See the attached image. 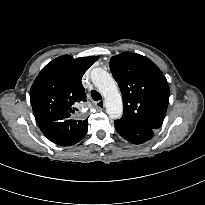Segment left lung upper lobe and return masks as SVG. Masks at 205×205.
<instances>
[{
    "mask_svg": "<svg viewBox=\"0 0 205 205\" xmlns=\"http://www.w3.org/2000/svg\"><path fill=\"white\" fill-rule=\"evenodd\" d=\"M110 70L122 92V118L154 130L160 128L170 94L161 70L148 58L131 52L113 56Z\"/></svg>",
    "mask_w": 205,
    "mask_h": 205,
    "instance_id": "obj_1",
    "label": "left lung upper lobe"
}]
</instances>
